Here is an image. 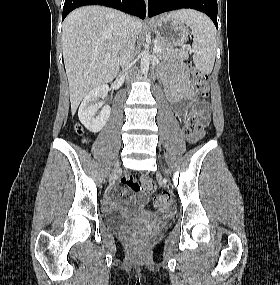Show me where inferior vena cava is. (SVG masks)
<instances>
[{
	"instance_id": "obj_1",
	"label": "inferior vena cava",
	"mask_w": 280,
	"mask_h": 285,
	"mask_svg": "<svg viewBox=\"0 0 280 285\" xmlns=\"http://www.w3.org/2000/svg\"><path fill=\"white\" fill-rule=\"evenodd\" d=\"M135 43L136 33L133 27V19L126 16L123 30V46L119 57L120 65L126 72L133 70Z\"/></svg>"
}]
</instances>
